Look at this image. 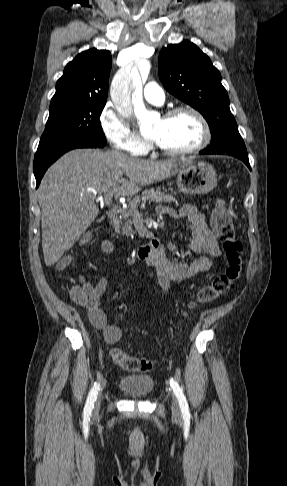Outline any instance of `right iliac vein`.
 <instances>
[{
  "mask_svg": "<svg viewBox=\"0 0 287 486\" xmlns=\"http://www.w3.org/2000/svg\"><path fill=\"white\" fill-rule=\"evenodd\" d=\"M99 408H100V396H98L97 400L95 401L94 412L97 413L99 411Z\"/></svg>",
  "mask_w": 287,
  "mask_h": 486,
  "instance_id": "1",
  "label": "right iliac vein"
}]
</instances>
